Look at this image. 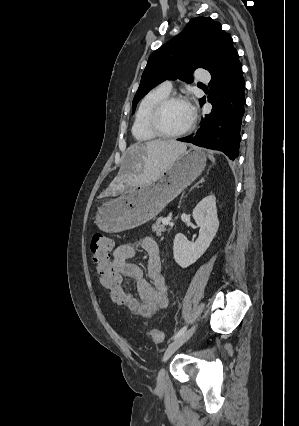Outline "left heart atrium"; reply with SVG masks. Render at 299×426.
I'll return each instance as SVG.
<instances>
[{
	"label": "left heart atrium",
	"mask_w": 299,
	"mask_h": 426,
	"mask_svg": "<svg viewBox=\"0 0 299 426\" xmlns=\"http://www.w3.org/2000/svg\"><path fill=\"white\" fill-rule=\"evenodd\" d=\"M189 109H190V113H191V117L194 116V109L192 106L189 105Z\"/></svg>",
	"instance_id": "obj_1"
}]
</instances>
